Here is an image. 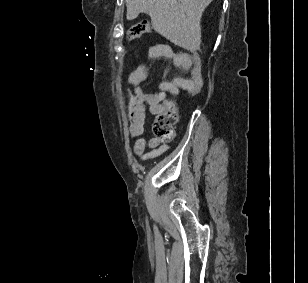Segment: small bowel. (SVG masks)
I'll list each match as a JSON object with an SVG mask.
<instances>
[{"mask_svg": "<svg viewBox=\"0 0 308 283\" xmlns=\"http://www.w3.org/2000/svg\"><path fill=\"white\" fill-rule=\"evenodd\" d=\"M150 54L153 57L169 58L176 68L190 73L192 58L187 53H175L167 45H155L151 47ZM147 76L146 67H137L128 76V83L132 85V89H125L130 135L135 138L132 152L141 161L157 158L169 150V145L166 142L157 138L146 139L142 136L145 130L146 111L158 114L162 110V102L168 94L176 95L181 90H187L190 85V76H176L172 79L164 77L158 84L157 93H146L141 85Z\"/></svg>", "mask_w": 308, "mask_h": 283, "instance_id": "1", "label": "small bowel"}]
</instances>
